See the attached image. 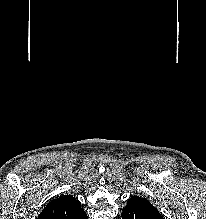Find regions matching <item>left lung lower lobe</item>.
Instances as JSON below:
<instances>
[{"label":"left lung lower lobe","instance_id":"1","mask_svg":"<svg viewBox=\"0 0 206 219\" xmlns=\"http://www.w3.org/2000/svg\"><path fill=\"white\" fill-rule=\"evenodd\" d=\"M122 219H163L160 213L141 197L133 196L122 212Z\"/></svg>","mask_w":206,"mask_h":219}]
</instances>
